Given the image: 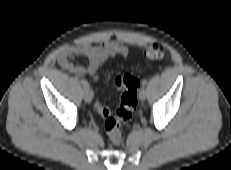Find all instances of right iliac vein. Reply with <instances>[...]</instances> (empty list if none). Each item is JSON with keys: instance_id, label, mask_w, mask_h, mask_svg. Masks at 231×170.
<instances>
[{"instance_id": "obj_1", "label": "right iliac vein", "mask_w": 231, "mask_h": 170, "mask_svg": "<svg viewBox=\"0 0 231 170\" xmlns=\"http://www.w3.org/2000/svg\"><path fill=\"white\" fill-rule=\"evenodd\" d=\"M93 93L90 88H84L83 98L86 102L90 103L92 101Z\"/></svg>"}]
</instances>
